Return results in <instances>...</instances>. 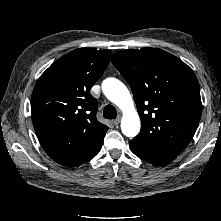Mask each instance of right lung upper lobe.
<instances>
[{
  "mask_svg": "<svg viewBox=\"0 0 221 221\" xmlns=\"http://www.w3.org/2000/svg\"><path fill=\"white\" fill-rule=\"evenodd\" d=\"M111 50L79 48L55 61L38 79L31 98L36 135L57 163L79 166L101 149L108 127L96 118L91 87L107 68Z\"/></svg>",
  "mask_w": 221,
  "mask_h": 221,
  "instance_id": "obj_1",
  "label": "right lung upper lobe"
}]
</instances>
